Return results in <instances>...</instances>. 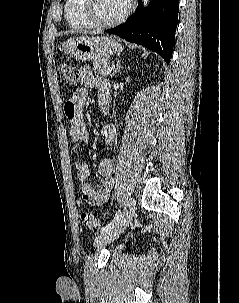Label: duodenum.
<instances>
[{
  "mask_svg": "<svg viewBox=\"0 0 239 303\" xmlns=\"http://www.w3.org/2000/svg\"><path fill=\"white\" fill-rule=\"evenodd\" d=\"M104 112L107 113V109H105Z\"/></svg>",
  "mask_w": 239,
  "mask_h": 303,
  "instance_id": "duodenum-1",
  "label": "duodenum"
}]
</instances>
